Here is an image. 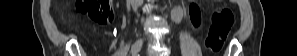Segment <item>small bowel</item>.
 Segmentation results:
<instances>
[{"instance_id":"small-bowel-1","label":"small bowel","mask_w":297,"mask_h":56,"mask_svg":"<svg viewBox=\"0 0 297 56\" xmlns=\"http://www.w3.org/2000/svg\"><path fill=\"white\" fill-rule=\"evenodd\" d=\"M191 21L195 27H198L201 22L200 10L196 4H191L189 7Z\"/></svg>"}]
</instances>
